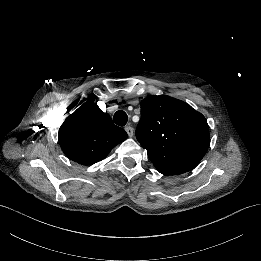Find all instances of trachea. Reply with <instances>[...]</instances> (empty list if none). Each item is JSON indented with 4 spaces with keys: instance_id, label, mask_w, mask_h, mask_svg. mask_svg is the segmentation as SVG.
<instances>
[{
    "instance_id": "trachea-1",
    "label": "trachea",
    "mask_w": 261,
    "mask_h": 261,
    "mask_svg": "<svg viewBox=\"0 0 261 261\" xmlns=\"http://www.w3.org/2000/svg\"><path fill=\"white\" fill-rule=\"evenodd\" d=\"M114 122L119 126H125L128 121V115L124 111H117L113 116Z\"/></svg>"
}]
</instances>
